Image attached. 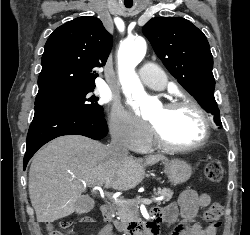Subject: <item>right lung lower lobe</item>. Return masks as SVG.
<instances>
[{
  "label": "right lung lower lobe",
  "instance_id": "obj_1",
  "mask_svg": "<svg viewBox=\"0 0 250 235\" xmlns=\"http://www.w3.org/2000/svg\"><path fill=\"white\" fill-rule=\"evenodd\" d=\"M107 132L108 127L103 116H92L69 109L38 107L27 135L24 169L34 153L56 137L77 134L99 140Z\"/></svg>",
  "mask_w": 250,
  "mask_h": 235
}]
</instances>
